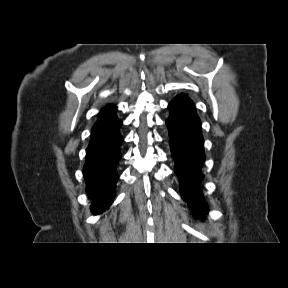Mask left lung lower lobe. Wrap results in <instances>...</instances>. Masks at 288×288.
Here are the masks:
<instances>
[{"instance_id": "0a47b994", "label": "left lung lower lobe", "mask_w": 288, "mask_h": 288, "mask_svg": "<svg viewBox=\"0 0 288 288\" xmlns=\"http://www.w3.org/2000/svg\"><path fill=\"white\" fill-rule=\"evenodd\" d=\"M168 108L170 115L166 125L170 132L171 156L180 180L182 198L195 215L203 217L208 213V208L200 191V182L204 177L201 169L205 161L201 122L194 103L185 94L176 96Z\"/></svg>"}]
</instances>
